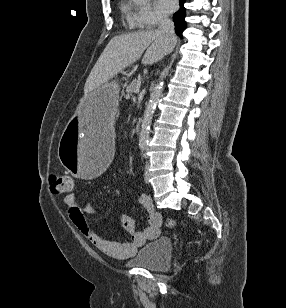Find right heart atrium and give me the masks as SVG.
Instances as JSON below:
<instances>
[{
	"instance_id": "right-heart-atrium-1",
	"label": "right heart atrium",
	"mask_w": 286,
	"mask_h": 308,
	"mask_svg": "<svg viewBox=\"0 0 286 308\" xmlns=\"http://www.w3.org/2000/svg\"><path fill=\"white\" fill-rule=\"evenodd\" d=\"M132 23L139 29H152L165 22L167 17L155 9L149 0L130 4Z\"/></svg>"
}]
</instances>
